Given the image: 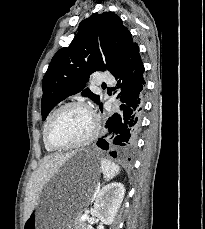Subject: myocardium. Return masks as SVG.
<instances>
[{
	"label": "myocardium",
	"instance_id": "1",
	"mask_svg": "<svg viewBox=\"0 0 205 229\" xmlns=\"http://www.w3.org/2000/svg\"><path fill=\"white\" fill-rule=\"evenodd\" d=\"M71 107H80V108L86 110L90 114V116L92 117V120H93L92 130L86 138H84L83 140H81L79 142L67 144V145H57L51 139L52 128H53L55 122L57 121L58 117L60 116V114L63 111H65L66 109L71 108ZM99 129H100V121H99L97 114L86 103H84L82 101H71V102H67V103L61 105L53 113V115H52V117L48 123L47 129H46L45 139H46V143L48 144V146L50 148H52L53 150L74 149V148L83 147V146L89 144L90 142H92L96 138V136L98 135Z\"/></svg>",
	"mask_w": 205,
	"mask_h": 229
}]
</instances>
